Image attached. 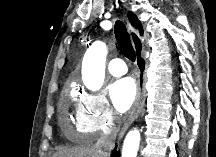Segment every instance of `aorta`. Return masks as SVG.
I'll return each mask as SVG.
<instances>
[{"instance_id":"obj_1","label":"aorta","mask_w":216,"mask_h":157,"mask_svg":"<svg viewBox=\"0 0 216 157\" xmlns=\"http://www.w3.org/2000/svg\"><path fill=\"white\" fill-rule=\"evenodd\" d=\"M107 53V46L101 41L94 42L86 51L82 64V80L89 90H99L103 85ZM139 143V131L131 130L124 140L122 157H136Z\"/></svg>"}]
</instances>
